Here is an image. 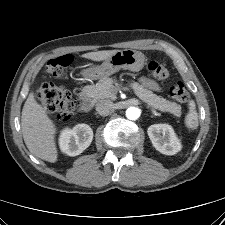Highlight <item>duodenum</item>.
I'll list each match as a JSON object with an SVG mask.
<instances>
[{"label": "duodenum", "mask_w": 225, "mask_h": 225, "mask_svg": "<svg viewBox=\"0 0 225 225\" xmlns=\"http://www.w3.org/2000/svg\"><path fill=\"white\" fill-rule=\"evenodd\" d=\"M93 106V98L90 95L84 94L79 99V109L82 112L90 110Z\"/></svg>", "instance_id": "410a0bca"}]
</instances>
